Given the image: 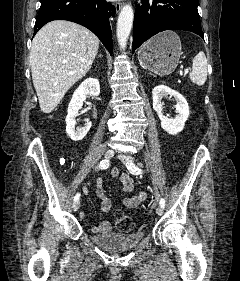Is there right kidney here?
I'll return each mask as SVG.
<instances>
[{
  "mask_svg": "<svg viewBox=\"0 0 240 281\" xmlns=\"http://www.w3.org/2000/svg\"><path fill=\"white\" fill-rule=\"evenodd\" d=\"M99 96L100 84L96 78H88L81 83L75 90L73 97L69 103L68 114L66 116V132L73 141L82 140L91 128V122L84 127H76L75 117L82 108L83 102L87 95Z\"/></svg>",
  "mask_w": 240,
  "mask_h": 281,
  "instance_id": "right-kidney-1",
  "label": "right kidney"
}]
</instances>
